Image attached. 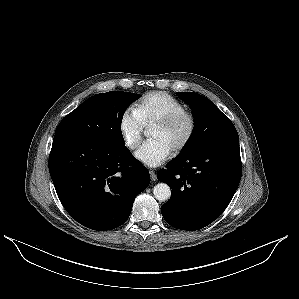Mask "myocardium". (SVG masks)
I'll list each match as a JSON object with an SVG mask.
<instances>
[{
  "label": "myocardium",
  "mask_w": 299,
  "mask_h": 299,
  "mask_svg": "<svg viewBox=\"0 0 299 299\" xmlns=\"http://www.w3.org/2000/svg\"><path fill=\"white\" fill-rule=\"evenodd\" d=\"M182 122L187 123L188 129L182 141L172 150V153L174 155H178L183 152L191 143L197 128V121L195 116L192 113L185 111L183 113H179L160 120L152 126L162 129H171Z\"/></svg>",
  "instance_id": "1"
}]
</instances>
